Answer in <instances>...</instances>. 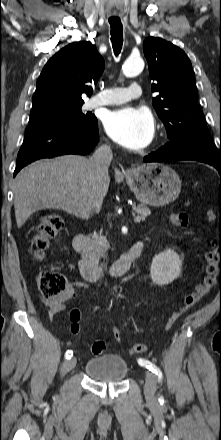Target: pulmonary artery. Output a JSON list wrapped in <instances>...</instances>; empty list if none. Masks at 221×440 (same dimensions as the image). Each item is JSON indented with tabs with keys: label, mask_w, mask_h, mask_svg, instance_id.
Masks as SVG:
<instances>
[{
	"label": "pulmonary artery",
	"mask_w": 221,
	"mask_h": 440,
	"mask_svg": "<svg viewBox=\"0 0 221 440\" xmlns=\"http://www.w3.org/2000/svg\"><path fill=\"white\" fill-rule=\"evenodd\" d=\"M141 94L142 89L137 83H132L128 88H107L92 98L87 103V107L91 109L98 106L122 104L140 97Z\"/></svg>",
	"instance_id": "obj_1"
}]
</instances>
